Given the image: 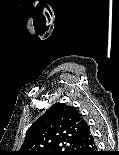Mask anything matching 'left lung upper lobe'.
Listing matches in <instances>:
<instances>
[{
	"mask_svg": "<svg viewBox=\"0 0 119 155\" xmlns=\"http://www.w3.org/2000/svg\"><path fill=\"white\" fill-rule=\"evenodd\" d=\"M82 121L76 108L54 104L28 129L15 155H75Z\"/></svg>",
	"mask_w": 119,
	"mask_h": 155,
	"instance_id": "1",
	"label": "left lung upper lobe"
}]
</instances>
